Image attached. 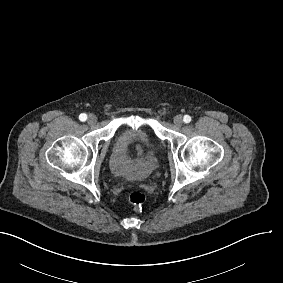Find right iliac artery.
I'll return each mask as SVG.
<instances>
[{"label":"right iliac artery","mask_w":283,"mask_h":283,"mask_svg":"<svg viewBox=\"0 0 283 283\" xmlns=\"http://www.w3.org/2000/svg\"><path fill=\"white\" fill-rule=\"evenodd\" d=\"M80 121H85L87 119V115L85 113H82L79 115Z\"/></svg>","instance_id":"82829eb1"}]
</instances>
